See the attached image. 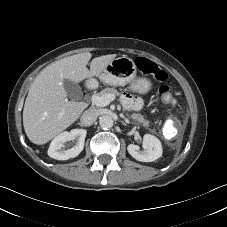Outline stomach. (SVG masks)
Returning a JSON list of instances; mask_svg holds the SVG:
<instances>
[{"instance_id": "0dacf381", "label": "stomach", "mask_w": 227, "mask_h": 227, "mask_svg": "<svg viewBox=\"0 0 227 227\" xmlns=\"http://www.w3.org/2000/svg\"><path fill=\"white\" fill-rule=\"evenodd\" d=\"M136 73L134 61L127 56H122L113 59L99 75V78L111 86L130 84V89L134 92H148L151 88V82L145 78H137Z\"/></svg>"}]
</instances>
